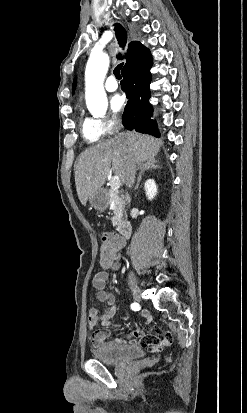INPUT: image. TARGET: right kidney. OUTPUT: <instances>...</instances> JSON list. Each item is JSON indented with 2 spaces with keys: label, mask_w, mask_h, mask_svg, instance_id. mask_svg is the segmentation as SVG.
<instances>
[{
  "label": "right kidney",
  "mask_w": 247,
  "mask_h": 413,
  "mask_svg": "<svg viewBox=\"0 0 247 413\" xmlns=\"http://www.w3.org/2000/svg\"><path fill=\"white\" fill-rule=\"evenodd\" d=\"M144 190H146V196L149 200H152L158 192L157 184L154 178H147L144 182Z\"/></svg>",
  "instance_id": "obj_1"
}]
</instances>
